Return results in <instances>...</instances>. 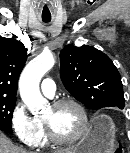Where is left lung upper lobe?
Masks as SVG:
<instances>
[{"label": "left lung upper lobe", "mask_w": 130, "mask_h": 153, "mask_svg": "<svg viewBox=\"0 0 130 153\" xmlns=\"http://www.w3.org/2000/svg\"><path fill=\"white\" fill-rule=\"evenodd\" d=\"M60 76L68 92L90 109L125 106L117 68L92 46H65L60 52Z\"/></svg>", "instance_id": "left-lung-upper-lobe-1"}]
</instances>
